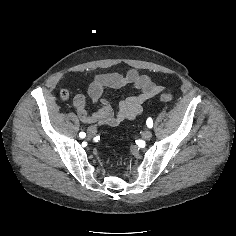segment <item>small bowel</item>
Listing matches in <instances>:
<instances>
[{"mask_svg":"<svg viewBox=\"0 0 236 236\" xmlns=\"http://www.w3.org/2000/svg\"><path fill=\"white\" fill-rule=\"evenodd\" d=\"M132 85L139 94L122 100L114 111L110 102L103 97L105 89H120ZM164 90V86L156 84L149 76L136 69L129 70L125 75L119 73H102L94 77L87 93L91 101L101 106L98 111L89 114L86 110V98L77 94L73 99L77 115L83 123L118 126L125 120H132L143 111V104Z\"/></svg>","mask_w":236,"mask_h":236,"instance_id":"obj_1","label":"small bowel"}]
</instances>
